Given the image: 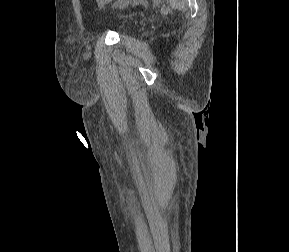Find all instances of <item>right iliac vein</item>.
<instances>
[{
  "instance_id": "63e3f726",
  "label": "right iliac vein",
  "mask_w": 289,
  "mask_h": 252,
  "mask_svg": "<svg viewBox=\"0 0 289 252\" xmlns=\"http://www.w3.org/2000/svg\"><path fill=\"white\" fill-rule=\"evenodd\" d=\"M127 1H129V0H127ZM126 5V3L125 4H123V6H125Z\"/></svg>"
}]
</instances>
